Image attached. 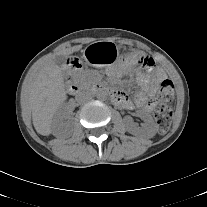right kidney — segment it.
Returning a JSON list of instances; mask_svg holds the SVG:
<instances>
[{
  "label": "right kidney",
  "mask_w": 207,
  "mask_h": 207,
  "mask_svg": "<svg viewBox=\"0 0 207 207\" xmlns=\"http://www.w3.org/2000/svg\"><path fill=\"white\" fill-rule=\"evenodd\" d=\"M71 117V113L67 110V108L64 105L61 106L54 115L52 121V130H62L68 124Z\"/></svg>",
  "instance_id": "ca27d5eb"
}]
</instances>
